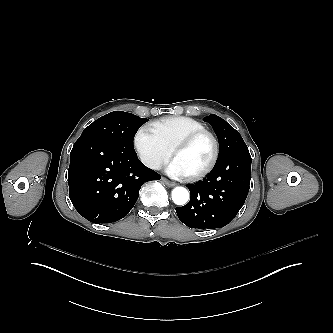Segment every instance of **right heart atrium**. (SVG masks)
Segmentation results:
<instances>
[{
    "label": "right heart atrium",
    "instance_id": "right-heart-atrium-1",
    "mask_svg": "<svg viewBox=\"0 0 333 333\" xmlns=\"http://www.w3.org/2000/svg\"><path fill=\"white\" fill-rule=\"evenodd\" d=\"M134 145L142 162L152 170L162 168L171 153V149L158 137L150 133L147 126L138 131Z\"/></svg>",
    "mask_w": 333,
    "mask_h": 333
}]
</instances>
